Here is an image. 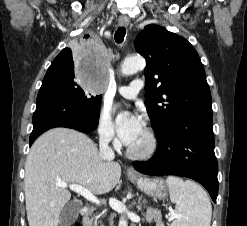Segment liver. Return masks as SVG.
<instances>
[{
	"label": "liver",
	"mask_w": 247,
	"mask_h": 226,
	"mask_svg": "<svg viewBox=\"0 0 247 226\" xmlns=\"http://www.w3.org/2000/svg\"><path fill=\"white\" fill-rule=\"evenodd\" d=\"M120 177V165L104 160L85 134L68 128L47 131L34 142L25 163L29 226H58L71 194L57 183L77 184L102 195L110 192Z\"/></svg>",
	"instance_id": "liver-1"
}]
</instances>
